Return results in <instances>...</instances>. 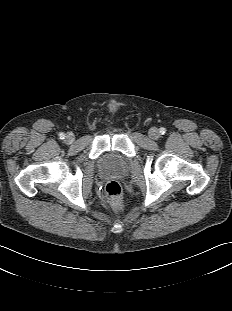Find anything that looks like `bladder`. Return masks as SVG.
Returning a JSON list of instances; mask_svg holds the SVG:
<instances>
[{
  "label": "bladder",
  "mask_w": 232,
  "mask_h": 311,
  "mask_svg": "<svg viewBox=\"0 0 232 311\" xmlns=\"http://www.w3.org/2000/svg\"><path fill=\"white\" fill-rule=\"evenodd\" d=\"M126 161L117 155H109L102 159L100 163L101 169L111 175L122 174L126 169Z\"/></svg>",
  "instance_id": "1"
}]
</instances>
